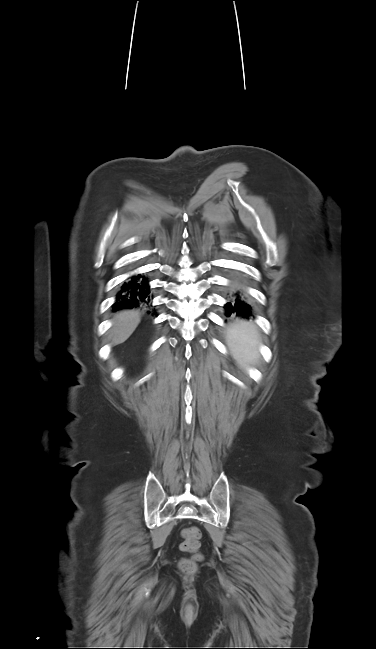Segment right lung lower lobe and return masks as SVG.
Instances as JSON below:
<instances>
[{
	"instance_id": "obj_1",
	"label": "right lung lower lobe",
	"mask_w": 376,
	"mask_h": 649,
	"mask_svg": "<svg viewBox=\"0 0 376 649\" xmlns=\"http://www.w3.org/2000/svg\"><path fill=\"white\" fill-rule=\"evenodd\" d=\"M148 294L149 285L143 276L137 275L129 278L121 285L113 310L137 307L140 303L149 304Z\"/></svg>"
}]
</instances>
